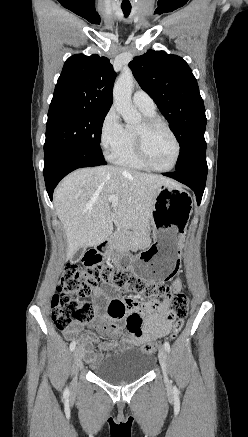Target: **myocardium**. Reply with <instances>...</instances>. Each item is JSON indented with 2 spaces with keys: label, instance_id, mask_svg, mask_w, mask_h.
Wrapping results in <instances>:
<instances>
[{
  "label": "myocardium",
  "instance_id": "f54148a6",
  "mask_svg": "<svg viewBox=\"0 0 248 437\" xmlns=\"http://www.w3.org/2000/svg\"><path fill=\"white\" fill-rule=\"evenodd\" d=\"M162 126L164 127L168 133L171 135L176 151L175 156L173 159L172 164L167 168H157L154 165L151 164V162L148 159L147 153H146V139L148 133L153 130L156 127ZM134 139H135V150L137 153V156L141 163L145 166V168L155 171V172H169L173 170L179 160L180 153H181V145L179 142V139L175 132L172 130V128L169 126L167 122L164 120L154 117V118H145L141 124V127L134 131Z\"/></svg>",
  "mask_w": 248,
  "mask_h": 437
}]
</instances>
